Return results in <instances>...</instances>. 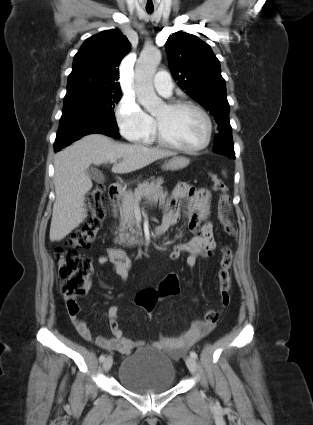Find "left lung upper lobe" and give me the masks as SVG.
Instances as JSON below:
<instances>
[{"mask_svg":"<svg viewBox=\"0 0 313 425\" xmlns=\"http://www.w3.org/2000/svg\"><path fill=\"white\" fill-rule=\"evenodd\" d=\"M165 47L178 85L215 117L220 133L231 132L226 83L210 46L192 34L177 32L168 38ZM218 153L234 154L233 141L220 147Z\"/></svg>","mask_w":313,"mask_h":425,"instance_id":"1","label":"left lung upper lobe"}]
</instances>
